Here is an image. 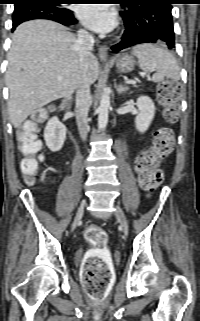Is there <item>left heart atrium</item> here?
I'll return each mask as SVG.
<instances>
[{
  "mask_svg": "<svg viewBox=\"0 0 200 321\" xmlns=\"http://www.w3.org/2000/svg\"><path fill=\"white\" fill-rule=\"evenodd\" d=\"M81 22L97 32H108L115 26V14L104 4H84L78 8Z\"/></svg>",
  "mask_w": 200,
  "mask_h": 321,
  "instance_id": "obj_1",
  "label": "left heart atrium"
}]
</instances>
